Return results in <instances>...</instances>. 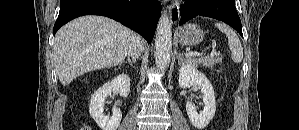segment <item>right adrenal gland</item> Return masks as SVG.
<instances>
[{
	"label": "right adrenal gland",
	"instance_id": "obj_1",
	"mask_svg": "<svg viewBox=\"0 0 299 130\" xmlns=\"http://www.w3.org/2000/svg\"><path fill=\"white\" fill-rule=\"evenodd\" d=\"M124 62H128V64L133 67V63H135L136 60L135 59H131L130 57H128L127 61H124Z\"/></svg>",
	"mask_w": 299,
	"mask_h": 130
}]
</instances>
